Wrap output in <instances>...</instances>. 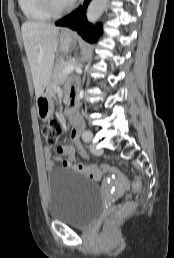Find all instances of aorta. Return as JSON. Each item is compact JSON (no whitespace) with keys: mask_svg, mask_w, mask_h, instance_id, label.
<instances>
[{"mask_svg":"<svg viewBox=\"0 0 174 258\" xmlns=\"http://www.w3.org/2000/svg\"><path fill=\"white\" fill-rule=\"evenodd\" d=\"M108 0H92L88 6L86 17L91 23L96 22L103 14Z\"/></svg>","mask_w":174,"mask_h":258,"instance_id":"1","label":"aorta"}]
</instances>
